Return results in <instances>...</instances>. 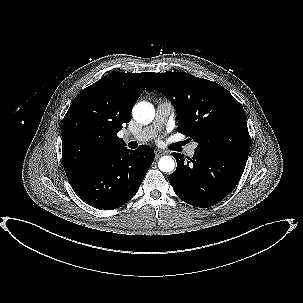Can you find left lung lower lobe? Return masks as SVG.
<instances>
[{
    "label": "left lung lower lobe",
    "instance_id": "1",
    "mask_svg": "<svg viewBox=\"0 0 303 303\" xmlns=\"http://www.w3.org/2000/svg\"><path fill=\"white\" fill-rule=\"evenodd\" d=\"M177 169L169 176L174 192L186 203L210 207L225 198L239 182L248 153L218 149H195L192 158L172 154Z\"/></svg>",
    "mask_w": 303,
    "mask_h": 303
}]
</instances>
